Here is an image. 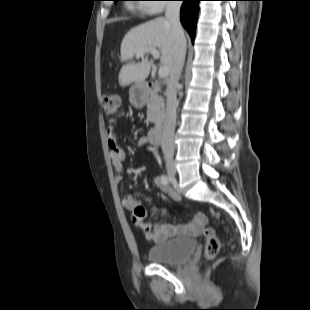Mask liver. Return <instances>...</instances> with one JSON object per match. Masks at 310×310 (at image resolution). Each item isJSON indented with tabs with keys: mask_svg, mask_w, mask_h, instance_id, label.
I'll return each mask as SVG.
<instances>
[{
	"mask_svg": "<svg viewBox=\"0 0 310 310\" xmlns=\"http://www.w3.org/2000/svg\"><path fill=\"white\" fill-rule=\"evenodd\" d=\"M174 32L169 21L159 17L131 29L121 43V59L131 60L137 53L146 48H158L161 52V64L169 72L174 55ZM143 57V56H142ZM152 62L143 57L140 63L130 62L124 65L119 73V84L124 87L131 82L142 84L150 73Z\"/></svg>",
	"mask_w": 310,
	"mask_h": 310,
	"instance_id": "liver-1",
	"label": "liver"
}]
</instances>
